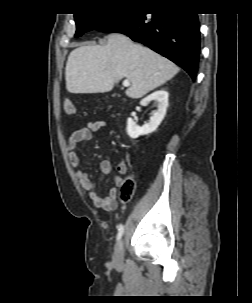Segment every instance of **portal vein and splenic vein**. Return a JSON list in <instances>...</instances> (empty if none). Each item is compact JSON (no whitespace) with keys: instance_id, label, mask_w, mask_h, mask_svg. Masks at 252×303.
<instances>
[{"instance_id":"1","label":"portal vein and splenic vein","mask_w":252,"mask_h":303,"mask_svg":"<svg viewBox=\"0 0 252 303\" xmlns=\"http://www.w3.org/2000/svg\"><path fill=\"white\" fill-rule=\"evenodd\" d=\"M129 85H130L129 80H128V79H125V80L123 81V86L127 87V86H129Z\"/></svg>"}]
</instances>
